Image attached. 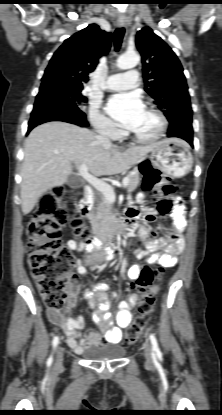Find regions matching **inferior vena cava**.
Returning <instances> with one entry per match:
<instances>
[{
	"label": "inferior vena cava",
	"mask_w": 222,
	"mask_h": 415,
	"mask_svg": "<svg viewBox=\"0 0 222 415\" xmlns=\"http://www.w3.org/2000/svg\"><path fill=\"white\" fill-rule=\"evenodd\" d=\"M95 138L102 144H105V145L111 144L110 139L107 136V132L105 131H100L99 135H96ZM101 255L104 256L103 253H101Z\"/></svg>",
	"instance_id": "obj_1"
}]
</instances>
